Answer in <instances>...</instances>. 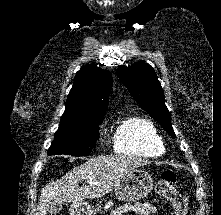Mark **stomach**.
Returning <instances> with one entry per match:
<instances>
[{
  "instance_id": "1",
  "label": "stomach",
  "mask_w": 221,
  "mask_h": 215,
  "mask_svg": "<svg viewBox=\"0 0 221 215\" xmlns=\"http://www.w3.org/2000/svg\"><path fill=\"white\" fill-rule=\"evenodd\" d=\"M153 188L151 175L141 169L131 171L115 188V196L124 202L137 201L148 196ZM71 215H95L97 212L87 203H73Z\"/></svg>"
}]
</instances>
